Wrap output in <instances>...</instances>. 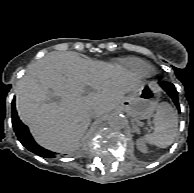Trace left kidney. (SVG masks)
Here are the masks:
<instances>
[{
  "instance_id": "left-kidney-1",
  "label": "left kidney",
  "mask_w": 194,
  "mask_h": 193,
  "mask_svg": "<svg viewBox=\"0 0 194 193\" xmlns=\"http://www.w3.org/2000/svg\"><path fill=\"white\" fill-rule=\"evenodd\" d=\"M137 146H138V149H139L140 151H142V152H147V150H146V148H145V146H144V144H143L142 142L138 141V142H137Z\"/></svg>"
}]
</instances>
